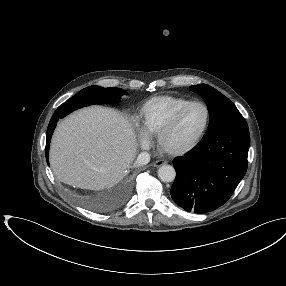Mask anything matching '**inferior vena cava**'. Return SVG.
I'll use <instances>...</instances> for the list:
<instances>
[{"label": "inferior vena cava", "instance_id": "1", "mask_svg": "<svg viewBox=\"0 0 286 286\" xmlns=\"http://www.w3.org/2000/svg\"><path fill=\"white\" fill-rule=\"evenodd\" d=\"M150 161V154L148 152H141L135 161V165L137 166H143L148 164Z\"/></svg>", "mask_w": 286, "mask_h": 286}]
</instances>
